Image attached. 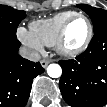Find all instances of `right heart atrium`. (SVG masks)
Masks as SVG:
<instances>
[{
	"label": "right heart atrium",
	"instance_id": "d8ad5b80",
	"mask_svg": "<svg viewBox=\"0 0 107 107\" xmlns=\"http://www.w3.org/2000/svg\"><path fill=\"white\" fill-rule=\"evenodd\" d=\"M17 36L23 44L30 47L31 49L37 52H41L43 50V45L34 37L31 31L20 27L17 30Z\"/></svg>",
	"mask_w": 107,
	"mask_h": 107
}]
</instances>
